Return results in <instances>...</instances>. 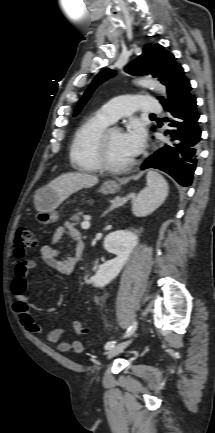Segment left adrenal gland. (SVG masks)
<instances>
[{
  "instance_id": "a2214340",
  "label": "left adrenal gland",
  "mask_w": 215,
  "mask_h": 433,
  "mask_svg": "<svg viewBox=\"0 0 215 433\" xmlns=\"http://www.w3.org/2000/svg\"><path fill=\"white\" fill-rule=\"evenodd\" d=\"M134 198H135V196L133 194H130V195L126 196V197H120V196L116 197L113 200L110 209L107 210L104 214H107L109 211H111V210H113L115 208H118V207L124 205L128 200L134 199Z\"/></svg>"
}]
</instances>
